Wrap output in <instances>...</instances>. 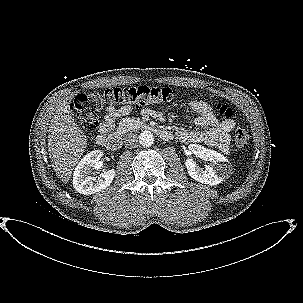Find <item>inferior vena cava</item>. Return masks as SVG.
<instances>
[{"label": "inferior vena cava", "instance_id": "inferior-vena-cava-1", "mask_svg": "<svg viewBox=\"0 0 303 303\" xmlns=\"http://www.w3.org/2000/svg\"><path fill=\"white\" fill-rule=\"evenodd\" d=\"M124 142L126 146H135L138 142L137 136L134 133H128L125 135Z\"/></svg>", "mask_w": 303, "mask_h": 303}]
</instances>
